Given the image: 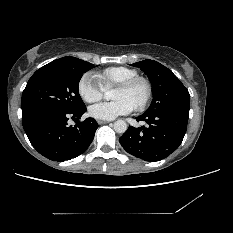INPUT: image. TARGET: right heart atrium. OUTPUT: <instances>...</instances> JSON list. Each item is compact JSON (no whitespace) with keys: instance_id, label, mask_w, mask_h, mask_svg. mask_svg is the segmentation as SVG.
<instances>
[{"instance_id":"obj_1","label":"right heart atrium","mask_w":233,"mask_h":233,"mask_svg":"<svg viewBox=\"0 0 233 233\" xmlns=\"http://www.w3.org/2000/svg\"><path fill=\"white\" fill-rule=\"evenodd\" d=\"M104 92V87L90 73L85 74L78 83V93L85 102L93 103L101 100Z\"/></svg>"}]
</instances>
